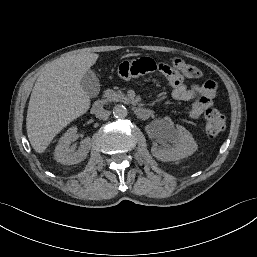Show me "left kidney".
<instances>
[{"label": "left kidney", "instance_id": "left-kidney-1", "mask_svg": "<svg viewBox=\"0 0 257 257\" xmlns=\"http://www.w3.org/2000/svg\"><path fill=\"white\" fill-rule=\"evenodd\" d=\"M158 142L162 146L154 145L152 155L158 160L176 161L192 155L197 150V144L192 134L183 126L167 123L164 130L158 134ZM173 143V145H169Z\"/></svg>", "mask_w": 257, "mask_h": 257}]
</instances>
